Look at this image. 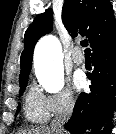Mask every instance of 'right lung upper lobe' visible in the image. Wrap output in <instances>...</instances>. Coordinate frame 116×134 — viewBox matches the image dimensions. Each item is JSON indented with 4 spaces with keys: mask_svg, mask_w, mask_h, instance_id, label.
Returning <instances> with one entry per match:
<instances>
[{
    "mask_svg": "<svg viewBox=\"0 0 116 134\" xmlns=\"http://www.w3.org/2000/svg\"><path fill=\"white\" fill-rule=\"evenodd\" d=\"M62 21L72 38L86 36L94 46L116 31V19L109 0H65ZM52 30V10L37 15L25 32V48L21 54L20 86L28 81L33 50L37 41Z\"/></svg>",
    "mask_w": 116,
    "mask_h": 134,
    "instance_id": "cb5924a9",
    "label": "right lung upper lobe"
}]
</instances>
